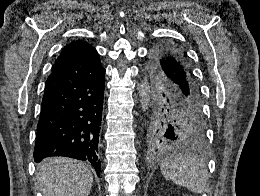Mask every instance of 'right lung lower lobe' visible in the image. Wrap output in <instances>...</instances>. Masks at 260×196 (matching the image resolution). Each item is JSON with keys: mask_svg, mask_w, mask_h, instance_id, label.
<instances>
[{"mask_svg": "<svg viewBox=\"0 0 260 196\" xmlns=\"http://www.w3.org/2000/svg\"><path fill=\"white\" fill-rule=\"evenodd\" d=\"M105 71L44 93L34 148L35 162L66 156L90 162L100 176L98 157Z\"/></svg>", "mask_w": 260, "mask_h": 196, "instance_id": "obj_1", "label": "right lung lower lobe"}]
</instances>
